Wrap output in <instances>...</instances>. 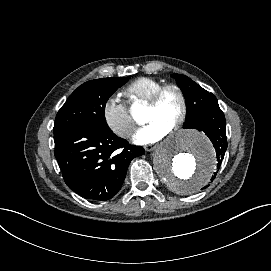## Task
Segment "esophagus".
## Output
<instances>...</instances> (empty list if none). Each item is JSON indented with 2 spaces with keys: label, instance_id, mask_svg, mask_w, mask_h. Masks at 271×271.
Masks as SVG:
<instances>
[{
  "label": "esophagus",
  "instance_id": "obj_1",
  "mask_svg": "<svg viewBox=\"0 0 271 271\" xmlns=\"http://www.w3.org/2000/svg\"><path fill=\"white\" fill-rule=\"evenodd\" d=\"M156 148V145L155 144H147V145H144V149L148 152L150 151H153L154 149Z\"/></svg>",
  "mask_w": 271,
  "mask_h": 271
}]
</instances>
